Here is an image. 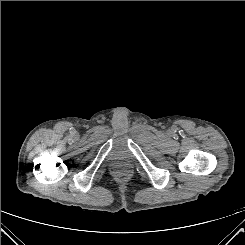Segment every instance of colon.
Wrapping results in <instances>:
<instances>
[{
    "mask_svg": "<svg viewBox=\"0 0 245 245\" xmlns=\"http://www.w3.org/2000/svg\"><path fill=\"white\" fill-rule=\"evenodd\" d=\"M126 167H127L126 165H122V166H121V169H122V170H125Z\"/></svg>",
    "mask_w": 245,
    "mask_h": 245,
    "instance_id": "obj_1",
    "label": "colon"
}]
</instances>
